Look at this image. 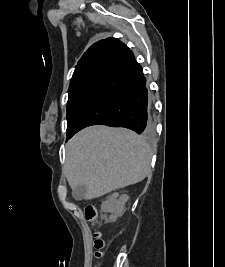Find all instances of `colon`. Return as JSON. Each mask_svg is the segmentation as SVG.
<instances>
[{
  "mask_svg": "<svg viewBox=\"0 0 225 267\" xmlns=\"http://www.w3.org/2000/svg\"><path fill=\"white\" fill-rule=\"evenodd\" d=\"M96 208L93 205H88L85 208V217L88 221L92 222L96 218ZM105 242L101 237L100 232L95 233L94 247L96 249L95 256L97 258L102 257V249L104 248Z\"/></svg>",
  "mask_w": 225,
  "mask_h": 267,
  "instance_id": "5ec220e1",
  "label": "colon"
}]
</instances>
